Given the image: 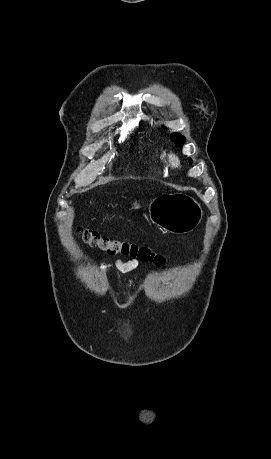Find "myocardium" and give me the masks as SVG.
Here are the masks:
<instances>
[{"mask_svg": "<svg viewBox=\"0 0 271 459\" xmlns=\"http://www.w3.org/2000/svg\"><path fill=\"white\" fill-rule=\"evenodd\" d=\"M167 159H168L170 166L173 168H178L182 162L181 157L175 152L169 153L167 156Z\"/></svg>", "mask_w": 271, "mask_h": 459, "instance_id": "obj_1", "label": "myocardium"}]
</instances>
